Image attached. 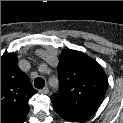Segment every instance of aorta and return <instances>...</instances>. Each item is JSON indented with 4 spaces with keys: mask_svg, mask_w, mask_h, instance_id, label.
I'll return each mask as SVG.
<instances>
[{
    "mask_svg": "<svg viewBox=\"0 0 123 123\" xmlns=\"http://www.w3.org/2000/svg\"><path fill=\"white\" fill-rule=\"evenodd\" d=\"M50 84L51 86H53L54 88H57L58 87V80L56 78H52L50 80Z\"/></svg>",
    "mask_w": 123,
    "mask_h": 123,
    "instance_id": "obj_1",
    "label": "aorta"
}]
</instances>
